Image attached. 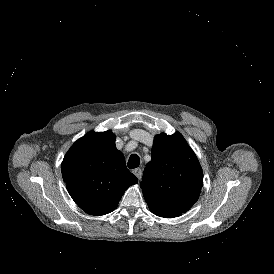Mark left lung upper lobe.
I'll list each match as a JSON object with an SVG mask.
<instances>
[{
  "label": "left lung upper lobe",
  "mask_w": 274,
  "mask_h": 274,
  "mask_svg": "<svg viewBox=\"0 0 274 274\" xmlns=\"http://www.w3.org/2000/svg\"><path fill=\"white\" fill-rule=\"evenodd\" d=\"M151 157L140 184L149 208L185 213L198 200L203 186L196 155L181 134L161 133L154 138Z\"/></svg>",
  "instance_id": "left-lung-upper-lobe-1"
}]
</instances>
